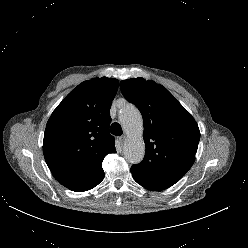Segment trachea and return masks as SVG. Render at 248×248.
Segmentation results:
<instances>
[{
	"instance_id": "obj_1",
	"label": "trachea",
	"mask_w": 248,
	"mask_h": 248,
	"mask_svg": "<svg viewBox=\"0 0 248 248\" xmlns=\"http://www.w3.org/2000/svg\"><path fill=\"white\" fill-rule=\"evenodd\" d=\"M110 131L115 136H121L123 134L121 125L117 122L112 123L110 127Z\"/></svg>"
}]
</instances>
